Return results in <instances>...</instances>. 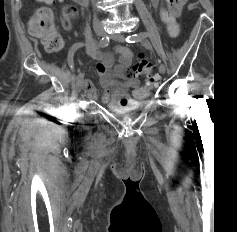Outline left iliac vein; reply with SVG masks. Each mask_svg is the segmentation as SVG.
Returning a JSON list of instances; mask_svg holds the SVG:
<instances>
[{"label": "left iliac vein", "instance_id": "left-iliac-vein-1", "mask_svg": "<svg viewBox=\"0 0 237 232\" xmlns=\"http://www.w3.org/2000/svg\"><path fill=\"white\" fill-rule=\"evenodd\" d=\"M110 37H111V39H113V40H115L117 42H124V36L122 34H120V33H112L110 35ZM159 72L161 74H164L166 72V67L162 63L159 66Z\"/></svg>", "mask_w": 237, "mask_h": 232}]
</instances>
